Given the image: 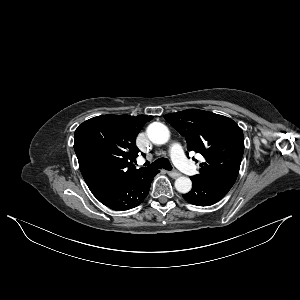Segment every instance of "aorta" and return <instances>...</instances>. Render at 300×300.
Wrapping results in <instances>:
<instances>
[{
	"label": "aorta",
	"instance_id": "762f6f07",
	"mask_svg": "<svg viewBox=\"0 0 300 300\" xmlns=\"http://www.w3.org/2000/svg\"><path fill=\"white\" fill-rule=\"evenodd\" d=\"M149 140L154 144H165L170 138V131L164 124L153 122L147 128ZM175 188L180 193H188L192 188L190 178L181 176L175 180Z\"/></svg>",
	"mask_w": 300,
	"mask_h": 300
}]
</instances>
